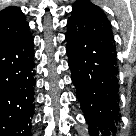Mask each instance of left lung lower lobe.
<instances>
[{
  "mask_svg": "<svg viewBox=\"0 0 136 136\" xmlns=\"http://www.w3.org/2000/svg\"><path fill=\"white\" fill-rule=\"evenodd\" d=\"M67 55L91 136L116 132L118 79L116 51L110 22L105 14L85 10L67 22Z\"/></svg>",
  "mask_w": 136,
  "mask_h": 136,
  "instance_id": "left-lung-lower-lobe-1",
  "label": "left lung lower lobe"
}]
</instances>
